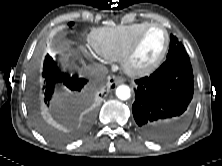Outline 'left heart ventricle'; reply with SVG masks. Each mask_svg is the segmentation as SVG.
Masks as SVG:
<instances>
[{
    "mask_svg": "<svg viewBox=\"0 0 222 166\" xmlns=\"http://www.w3.org/2000/svg\"><path fill=\"white\" fill-rule=\"evenodd\" d=\"M165 39V33L161 28L149 29L132 57V64L135 67H145L154 62L164 47Z\"/></svg>",
    "mask_w": 222,
    "mask_h": 166,
    "instance_id": "left-heart-ventricle-1",
    "label": "left heart ventricle"
}]
</instances>
